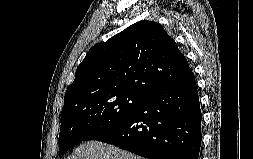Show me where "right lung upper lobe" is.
<instances>
[{"label":"right lung upper lobe","instance_id":"obj_1","mask_svg":"<svg viewBox=\"0 0 253 159\" xmlns=\"http://www.w3.org/2000/svg\"><path fill=\"white\" fill-rule=\"evenodd\" d=\"M192 73L176 42L153 21H139L94 45L78 66L65 103L99 92L147 96Z\"/></svg>","mask_w":253,"mask_h":159}]
</instances>
